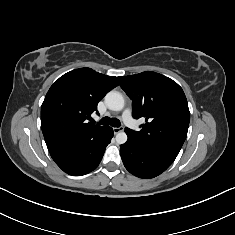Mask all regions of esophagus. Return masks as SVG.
Returning a JSON list of instances; mask_svg holds the SVG:
<instances>
[{
  "mask_svg": "<svg viewBox=\"0 0 235 235\" xmlns=\"http://www.w3.org/2000/svg\"><path fill=\"white\" fill-rule=\"evenodd\" d=\"M122 130H123V127H122V126H121V127H114V128H113L114 134H117V133L121 132Z\"/></svg>",
  "mask_w": 235,
  "mask_h": 235,
  "instance_id": "obj_1",
  "label": "esophagus"
}]
</instances>
